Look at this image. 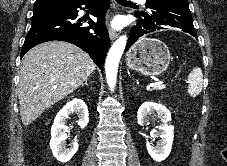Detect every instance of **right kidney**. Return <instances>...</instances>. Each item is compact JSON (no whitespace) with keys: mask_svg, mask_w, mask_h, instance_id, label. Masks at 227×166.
Masks as SVG:
<instances>
[{"mask_svg":"<svg viewBox=\"0 0 227 166\" xmlns=\"http://www.w3.org/2000/svg\"><path fill=\"white\" fill-rule=\"evenodd\" d=\"M76 113L78 116V125L81 128L87 126L89 122V113L86 104L81 99H73L68 102L56 115L53 126L51 128L50 148L54 157L62 162H68L78 150V142L75 139L70 148H66L65 140L67 139L66 120L69 115Z\"/></svg>","mask_w":227,"mask_h":166,"instance_id":"ca27d5eb","label":"right kidney"}]
</instances>
